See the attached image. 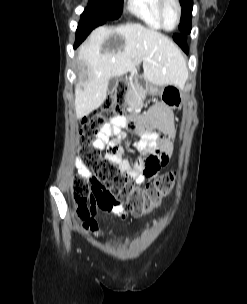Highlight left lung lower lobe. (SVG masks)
<instances>
[{"label": "left lung lower lobe", "mask_w": 247, "mask_h": 304, "mask_svg": "<svg viewBox=\"0 0 247 304\" xmlns=\"http://www.w3.org/2000/svg\"><path fill=\"white\" fill-rule=\"evenodd\" d=\"M191 30L189 31H186V32H182V35H179V34H175L173 36V39L174 41L183 49L184 52H188V47H187V44H186V41L185 39H183V36L186 35V34H189Z\"/></svg>", "instance_id": "obj_1"}]
</instances>
